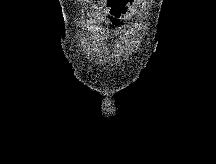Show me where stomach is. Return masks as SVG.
Instances as JSON below:
<instances>
[{"label": "stomach", "instance_id": "0dacf381", "mask_svg": "<svg viewBox=\"0 0 216 164\" xmlns=\"http://www.w3.org/2000/svg\"><path fill=\"white\" fill-rule=\"evenodd\" d=\"M140 0H107L108 7L104 9H96V14H105V20H124L125 17H129V12H131V6L133 4H138Z\"/></svg>", "mask_w": 216, "mask_h": 164}]
</instances>
